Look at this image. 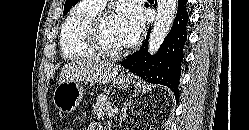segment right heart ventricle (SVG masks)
Returning <instances> with one entry per match:
<instances>
[{"mask_svg": "<svg viewBox=\"0 0 249 130\" xmlns=\"http://www.w3.org/2000/svg\"><path fill=\"white\" fill-rule=\"evenodd\" d=\"M101 10L90 0H80L69 12L60 29L59 43L65 59L94 57L85 40V29L89 20Z\"/></svg>", "mask_w": 249, "mask_h": 130, "instance_id": "right-heart-ventricle-1", "label": "right heart ventricle"}]
</instances>
